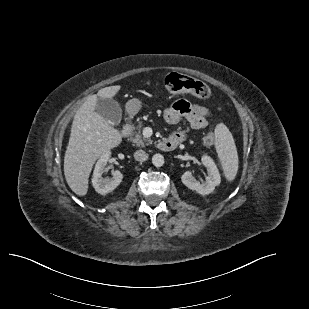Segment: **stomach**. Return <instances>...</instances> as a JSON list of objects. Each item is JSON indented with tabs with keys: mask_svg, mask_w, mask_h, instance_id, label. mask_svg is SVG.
Masks as SVG:
<instances>
[{
	"mask_svg": "<svg viewBox=\"0 0 309 309\" xmlns=\"http://www.w3.org/2000/svg\"><path fill=\"white\" fill-rule=\"evenodd\" d=\"M125 109H126L127 114L130 117H133L134 115H136L140 111L141 101L136 99V98L131 99L126 103Z\"/></svg>",
	"mask_w": 309,
	"mask_h": 309,
	"instance_id": "0dacf381",
	"label": "stomach"
}]
</instances>
